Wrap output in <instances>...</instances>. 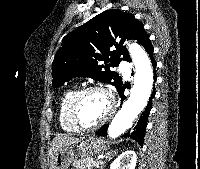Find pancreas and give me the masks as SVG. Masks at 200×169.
I'll use <instances>...</instances> for the list:
<instances>
[{"mask_svg": "<svg viewBox=\"0 0 200 169\" xmlns=\"http://www.w3.org/2000/svg\"><path fill=\"white\" fill-rule=\"evenodd\" d=\"M100 163L89 159L78 160L74 162L73 166L75 169H93L98 168Z\"/></svg>", "mask_w": 200, "mask_h": 169, "instance_id": "1", "label": "pancreas"}]
</instances>
